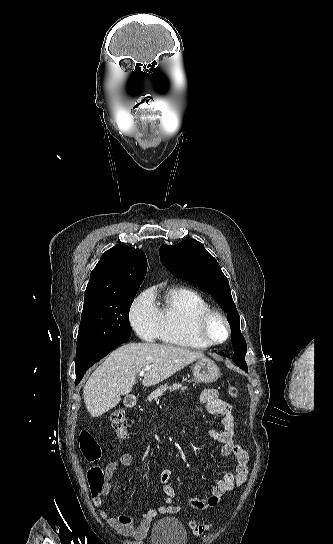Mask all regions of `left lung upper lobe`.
<instances>
[{
    "label": "left lung upper lobe",
    "mask_w": 333,
    "mask_h": 544,
    "mask_svg": "<svg viewBox=\"0 0 333 544\" xmlns=\"http://www.w3.org/2000/svg\"><path fill=\"white\" fill-rule=\"evenodd\" d=\"M159 254L162 264L170 273L210 293L227 312L232 329V360L240 368L247 369V346L240 332V317L231 296L228 279L216 259L205 250L202 243L192 238L174 246L162 245Z\"/></svg>",
    "instance_id": "obj_1"
}]
</instances>
